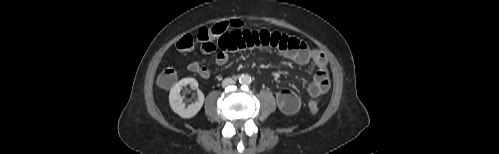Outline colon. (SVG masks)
<instances>
[{
	"label": "colon",
	"instance_id": "5ec220e1",
	"mask_svg": "<svg viewBox=\"0 0 499 154\" xmlns=\"http://www.w3.org/2000/svg\"><path fill=\"white\" fill-rule=\"evenodd\" d=\"M243 26L244 23L242 21L234 20L202 27L198 30L196 35L186 34L180 38L176 43V47L179 51H190L199 42L212 41L228 32L229 29H242ZM176 80L177 70L174 67H167L161 72L158 82L162 87L170 88L175 84ZM308 109L312 115L318 114L320 110L318 102L311 99L308 103Z\"/></svg>",
	"mask_w": 499,
	"mask_h": 154
}]
</instances>
